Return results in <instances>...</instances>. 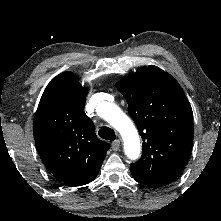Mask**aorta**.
I'll return each instance as SVG.
<instances>
[{
    "instance_id": "obj_1",
    "label": "aorta",
    "mask_w": 221,
    "mask_h": 221,
    "mask_svg": "<svg viewBox=\"0 0 221 221\" xmlns=\"http://www.w3.org/2000/svg\"><path fill=\"white\" fill-rule=\"evenodd\" d=\"M97 111L123 137L126 155L131 159L138 158L141 151L139 136L129 117L118 106L108 102L100 103Z\"/></svg>"
}]
</instances>
